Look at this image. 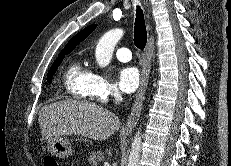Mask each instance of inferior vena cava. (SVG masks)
Masks as SVG:
<instances>
[{"label":"inferior vena cava","instance_id":"1","mask_svg":"<svg viewBox=\"0 0 231 166\" xmlns=\"http://www.w3.org/2000/svg\"><path fill=\"white\" fill-rule=\"evenodd\" d=\"M114 97H115V100L116 101H120L121 100V97L118 93H114Z\"/></svg>","mask_w":231,"mask_h":166}]
</instances>
